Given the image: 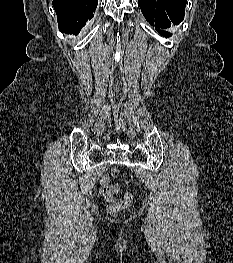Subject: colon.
<instances>
[{"mask_svg": "<svg viewBox=\"0 0 233 263\" xmlns=\"http://www.w3.org/2000/svg\"><path fill=\"white\" fill-rule=\"evenodd\" d=\"M111 174L113 177H117L118 176V170L116 168H113L111 170ZM131 203H132V195L127 192V193H125L124 198L121 201L113 203L108 207V212L110 214L115 215L118 212L127 208Z\"/></svg>", "mask_w": 233, "mask_h": 263, "instance_id": "5ec220e1", "label": "colon"}]
</instances>
